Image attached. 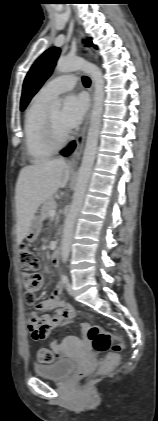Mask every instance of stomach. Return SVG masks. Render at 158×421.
I'll return each instance as SVG.
<instances>
[{
  "label": "stomach",
  "mask_w": 158,
  "mask_h": 421,
  "mask_svg": "<svg viewBox=\"0 0 158 421\" xmlns=\"http://www.w3.org/2000/svg\"><path fill=\"white\" fill-rule=\"evenodd\" d=\"M42 221L43 219L40 215H35L33 217L26 235V239L28 242L32 243L37 239L42 228Z\"/></svg>",
  "instance_id": "0dacf381"
}]
</instances>
